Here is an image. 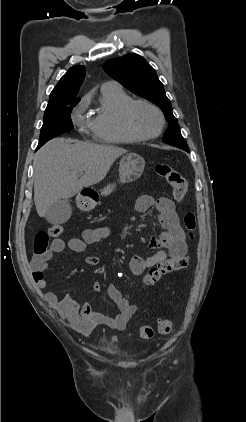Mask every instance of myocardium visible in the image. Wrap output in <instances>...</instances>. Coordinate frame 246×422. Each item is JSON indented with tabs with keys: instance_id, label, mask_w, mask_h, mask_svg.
I'll list each match as a JSON object with an SVG mask.
<instances>
[{
	"instance_id": "myocardium-1",
	"label": "myocardium",
	"mask_w": 246,
	"mask_h": 422,
	"mask_svg": "<svg viewBox=\"0 0 246 422\" xmlns=\"http://www.w3.org/2000/svg\"><path fill=\"white\" fill-rule=\"evenodd\" d=\"M138 105H146L156 111L160 119V125L156 132L152 134H142L135 128L132 121V112L134 108ZM121 120L126 131L135 139L140 141L151 140L158 137L162 133L166 124L164 113L160 109V107L157 106L155 103L145 99H134L127 103L121 111Z\"/></svg>"
}]
</instances>
